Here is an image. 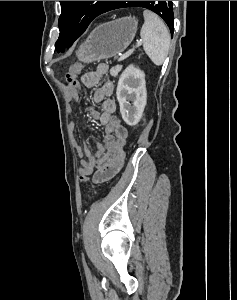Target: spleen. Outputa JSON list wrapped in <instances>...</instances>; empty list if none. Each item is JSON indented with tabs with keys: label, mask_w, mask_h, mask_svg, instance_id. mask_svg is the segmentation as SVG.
<instances>
[{
	"label": "spleen",
	"mask_w": 237,
	"mask_h": 300,
	"mask_svg": "<svg viewBox=\"0 0 237 300\" xmlns=\"http://www.w3.org/2000/svg\"><path fill=\"white\" fill-rule=\"evenodd\" d=\"M144 25L140 31L143 41V49L154 65H163L170 47V35L162 19L151 13L144 11Z\"/></svg>",
	"instance_id": "obj_1"
}]
</instances>
